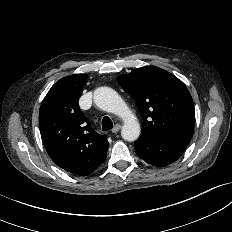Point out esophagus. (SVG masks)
I'll use <instances>...</instances> for the list:
<instances>
[{"label":"esophagus","mask_w":232,"mask_h":232,"mask_svg":"<svg viewBox=\"0 0 232 232\" xmlns=\"http://www.w3.org/2000/svg\"><path fill=\"white\" fill-rule=\"evenodd\" d=\"M120 129H121V125L116 124L111 131L112 133H117Z\"/></svg>","instance_id":"34e87169"}]
</instances>
